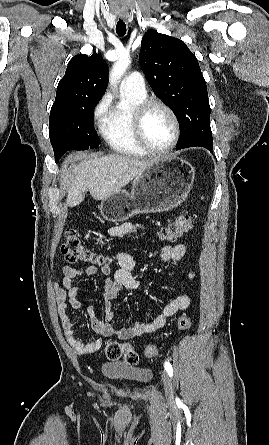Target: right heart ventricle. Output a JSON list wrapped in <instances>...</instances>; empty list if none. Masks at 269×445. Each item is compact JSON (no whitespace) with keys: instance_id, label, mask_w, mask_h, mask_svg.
<instances>
[{"instance_id":"right-heart-ventricle-1","label":"right heart ventricle","mask_w":269,"mask_h":445,"mask_svg":"<svg viewBox=\"0 0 269 445\" xmlns=\"http://www.w3.org/2000/svg\"><path fill=\"white\" fill-rule=\"evenodd\" d=\"M145 100V95L122 90L120 102L107 112L101 122V134L115 152L132 157L147 153L137 144L133 133V112Z\"/></svg>"}]
</instances>
